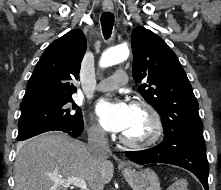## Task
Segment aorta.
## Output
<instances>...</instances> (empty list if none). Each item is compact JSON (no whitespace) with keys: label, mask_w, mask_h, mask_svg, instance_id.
I'll return each mask as SVG.
<instances>
[{"label":"aorta","mask_w":221,"mask_h":190,"mask_svg":"<svg viewBox=\"0 0 221 190\" xmlns=\"http://www.w3.org/2000/svg\"><path fill=\"white\" fill-rule=\"evenodd\" d=\"M129 49L126 46H116L106 50L99 61L100 67L106 68L123 62L129 56Z\"/></svg>","instance_id":"762f6f07"}]
</instances>
